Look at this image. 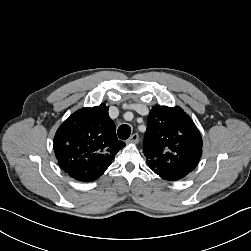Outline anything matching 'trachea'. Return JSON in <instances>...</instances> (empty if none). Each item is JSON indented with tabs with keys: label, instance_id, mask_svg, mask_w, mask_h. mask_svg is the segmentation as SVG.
I'll return each instance as SVG.
<instances>
[{
	"label": "trachea",
	"instance_id": "3493384b",
	"mask_svg": "<svg viewBox=\"0 0 251 251\" xmlns=\"http://www.w3.org/2000/svg\"><path fill=\"white\" fill-rule=\"evenodd\" d=\"M131 134V127L129 125L123 124L118 128V137L120 139H128Z\"/></svg>",
	"mask_w": 251,
	"mask_h": 251
}]
</instances>
